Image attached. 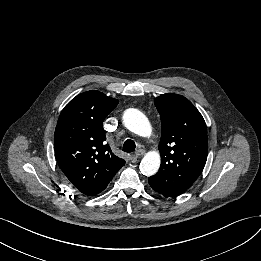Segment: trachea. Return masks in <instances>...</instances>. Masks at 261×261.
Segmentation results:
<instances>
[{
    "mask_svg": "<svg viewBox=\"0 0 261 261\" xmlns=\"http://www.w3.org/2000/svg\"><path fill=\"white\" fill-rule=\"evenodd\" d=\"M135 142L131 139H127L123 144V151L127 153H132L135 151Z\"/></svg>",
    "mask_w": 261,
    "mask_h": 261,
    "instance_id": "3493384b",
    "label": "trachea"
}]
</instances>
